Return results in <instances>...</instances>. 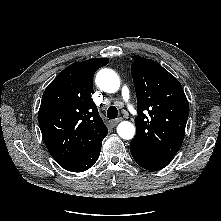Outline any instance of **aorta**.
<instances>
[{"mask_svg":"<svg viewBox=\"0 0 221 221\" xmlns=\"http://www.w3.org/2000/svg\"><path fill=\"white\" fill-rule=\"evenodd\" d=\"M96 85L104 92L115 93L120 87V79L112 69H101L95 79ZM118 135L125 140H130L135 135V127L131 122L123 121L117 127Z\"/></svg>","mask_w":221,"mask_h":221,"instance_id":"aorta-1","label":"aorta"}]
</instances>
